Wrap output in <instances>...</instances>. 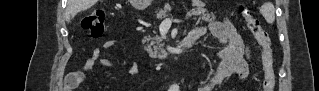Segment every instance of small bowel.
<instances>
[{
    "label": "small bowel",
    "mask_w": 319,
    "mask_h": 91,
    "mask_svg": "<svg viewBox=\"0 0 319 91\" xmlns=\"http://www.w3.org/2000/svg\"><path fill=\"white\" fill-rule=\"evenodd\" d=\"M209 30L218 41L216 57L217 65L211 70L207 78L201 82L198 91H211L213 87L230 74H236L240 80H245L249 74V62L251 50L243 38L237 32L236 27L227 18L209 25ZM205 31L204 27L196 26L189 35L200 36ZM117 45L114 39H106L102 42V49H111ZM97 66H113V62L104 57L100 48H94L91 55L84 61L83 68L91 70ZM132 76L136 73V67L128 68ZM83 80L81 73H74L70 80L71 86H76Z\"/></svg>",
    "instance_id": "c3829d8e"
}]
</instances>
